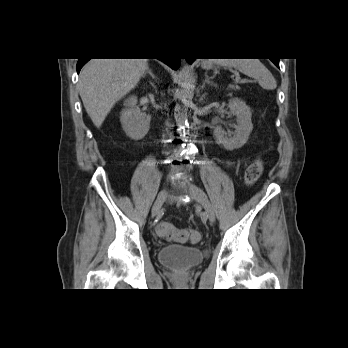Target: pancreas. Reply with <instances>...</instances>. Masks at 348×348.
Here are the masks:
<instances>
[{"mask_svg": "<svg viewBox=\"0 0 348 348\" xmlns=\"http://www.w3.org/2000/svg\"><path fill=\"white\" fill-rule=\"evenodd\" d=\"M229 88H230V89H233V90H238V89H240L237 85H236V86H235V85H230Z\"/></svg>", "mask_w": 348, "mask_h": 348, "instance_id": "obj_1", "label": "pancreas"}]
</instances>
